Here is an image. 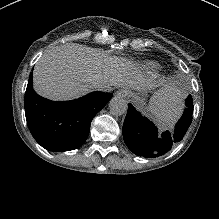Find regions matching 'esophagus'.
<instances>
[{
  "label": "esophagus",
  "instance_id": "34e87169",
  "mask_svg": "<svg viewBox=\"0 0 219 219\" xmlns=\"http://www.w3.org/2000/svg\"><path fill=\"white\" fill-rule=\"evenodd\" d=\"M127 96V91L124 89L118 90L115 93V98H125Z\"/></svg>",
  "mask_w": 219,
  "mask_h": 219
}]
</instances>
